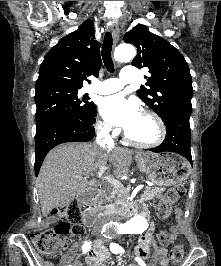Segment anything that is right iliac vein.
Wrapping results in <instances>:
<instances>
[{"label":"right iliac vein","instance_id":"63e3f726","mask_svg":"<svg viewBox=\"0 0 221 266\" xmlns=\"http://www.w3.org/2000/svg\"><path fill=\"white\" fill-rule=\"evenodd\" d=\"M101 245V240L98 238L95 244V247H99Z\"/></svg>","mask_w":221,"mask_h":266}]
</instances>
